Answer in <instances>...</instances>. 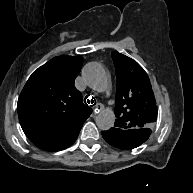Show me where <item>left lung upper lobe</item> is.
Instances as JSON below:
<instances>
[{
  "label": "left lung upper lobe",
  "instance_id": "1",
  "mask_svg": "<svg viewBox=\"0 0 193 193\" xmlns=\"http://www.w3.org/2000/svg\"><path fill=\"white\" fill-rule=\"evenodd\" d=\"M116 68L115 128L128 132L150 129L157 118V107L150 80L133 59L112 52Z\"/></svg>",
  "mask_w": 193,
  "mask_h": 193
}]
</instances>
